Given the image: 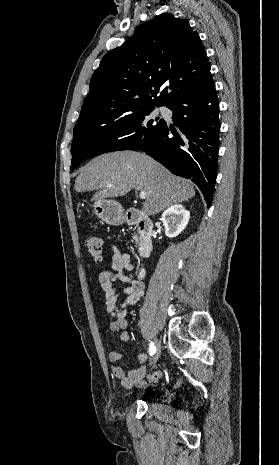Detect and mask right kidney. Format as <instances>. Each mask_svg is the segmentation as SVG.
I'll list each match as a JSON object with an SVG mask.
<instances>
[{"label":"right kidney","instance_id":"ca27d5eb","mask_svg":"<svg viewBox=\"0 0 279 465\" xmlns=\"http://www.w3.org/2000/svg\"><path fill=\"white\" fill-rule=\"evenodd\" d=\"M190 212L181 204H175L162 214L165 234L169 238L178 236L187 226Z\"/></svg>","mask_w":279,"mask_h":465}]
</instances>
